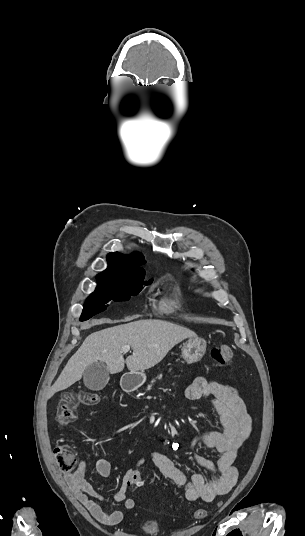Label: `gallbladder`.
I'll use <instances>...</instances> for the list:
<instances>
[{"label": "gallbladder", "instance_id": "gallbladder-1", "mask_svg": "<svg viewBox=\"0 0 305 536\" xmlns=\"http://www.w3.org/2000/svg\"><path fill=\"white\" fill-rule=\"evenodd\" d=\"M109 380V372L104 362H94L84 370L83 382L89 390H103Z\"/></svg>", "mask_w": 305, "mask_h": 536}]
</instances>
